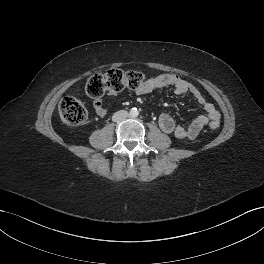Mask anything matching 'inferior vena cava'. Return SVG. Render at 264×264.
<instances>
[{
  "label": "inferior vena cava",
  "mask_w": 264,
  "mask_h": 264,
  "mask_svg": "<svg viewBox=\"0 0 264 264\" xmlns=\"http://www.w3.org/2000/svg\"><path fill=\"white\" fill-rule=\"evenodd\" d=\"M128 112L125 111V110H120V111H117L116 113H114V115L112 116V120L114 122H119L121 120H124L128 117Z\"/></svg>",
  "instance_id": "1"
}]
</instances>
